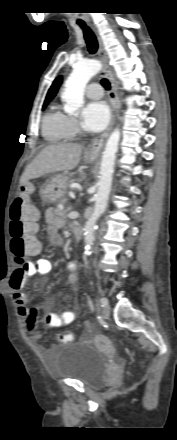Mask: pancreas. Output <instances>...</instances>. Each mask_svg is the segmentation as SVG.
<instances>
[{"label":"pancreas","instance_id":"pancreas-1","mask_svg":"<svg viewBox=\"0 0 177 440\" xmlns=\"http://www.w3.org/2000/svg\"><path fill=\"white\" fill-rule=\"evenodd\" d=\"M61 203H64V200H61ZM55 214H56L57 216H60V217H64V218H65L66 210L61 209L60 207H57V208L55 209Z\"/></svg>","mask_w":177,"mask_h":440}]
</instances>
